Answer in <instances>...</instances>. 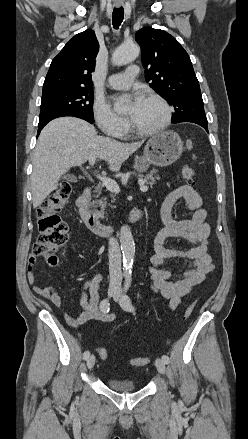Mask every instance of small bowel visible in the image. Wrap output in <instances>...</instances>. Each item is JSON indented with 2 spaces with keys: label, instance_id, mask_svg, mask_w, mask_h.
I'll use <instances>...</instances> for the list:
<instances>
[{
  "label": "small bowel",
  "instance_id": "obj_1",
  "mask_svg": "<svg viewBox=\"0 0 248 439\" xmlns=\"http://www.w3.org/2000/svg\"><path fill=\"white\" fill-rule=\"evenodd\" d=\"M183 199L187 207L193 210V215L188 219H175L172 214L175 203ZM207 211L202 208V200L198 193L189 185H182L168 193L161 205V218L164 228L158 232L154 240L155 253L150 258L149 273L151 288L154 292L169 300V309L180 306L182 300L187 298L192 289L204 281L206 275L213 271L212 256L208 252L210 224L206 221ZM169 238L181 239L194 246L188 249L166 247L165 241ZM170 260L186 262L182 272H173L166 268ZM37 256L32 253L28 260L27 278L36 294L50 301L55 307L61 308V297L51 286H40L35 276ZM102 280L100 272L95 273L85 281L80 290L78 302L83 312L73 317L65 314L66 322L72 327H78L91 320L110 323L115 320L113 314L100 312L98 308V287ZM89 289L88 299L85 290Z\"/></svg>",
  "mask_w": 248,
  "mask_h": 439
}]
</instances>
